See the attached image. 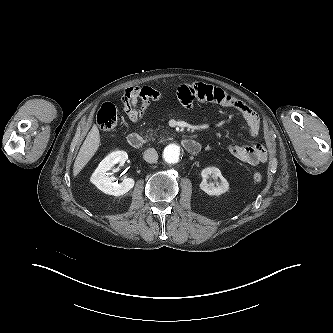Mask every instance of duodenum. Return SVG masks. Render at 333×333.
<instances>
[{
  "label": "duodenum",
  "mask_w": 333,
  "mask_h": 333,
  "mask_svg": "<svg viewBox=\"0 0 333 333\" xmlns=\"http://www.w3.org/2000/svg\"><path fill=\"white\" fill-rule=\"evenodd\" d=\"M127 141L128 144L132 147V148H140L143 146L144 144V139L143 137L138 134V133H130L127 136ZM182 146L185 149L186 152H188L191 155H195L197 153H199V151L201 150V145L199 142H197L196 140L190 139V138H185L182 140Z\"/></svg>",
  "instance_id": "1"
}]
</instances>
